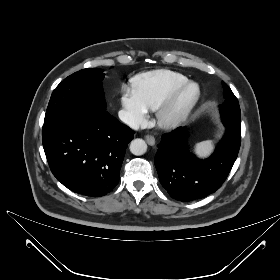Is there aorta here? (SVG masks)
Instances as JSON below:
<instances>
[{"mask_svg": "<svg viewBox=\"0 0 280 280\" xmlns=\"http://www.w3.org/2000/svg\"><path fill=\"white\" fill-rule=\"evenodd\" d=\"M130 151L136 156L143 155L147 151V144L143 139H134L130 144Z\"/></svg>", "mask_w": 280, "mask_h": 280, "instance_id": "aorta-1", "label": "aorta"}]
</instances>
